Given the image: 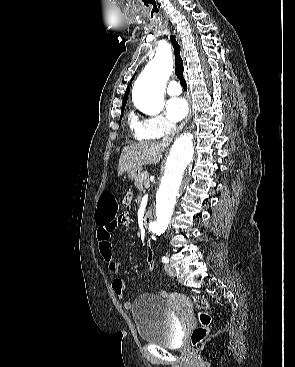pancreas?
Wrapping results in <instances>:
<instances>
[{
  "label": "pancreas",
  "mask_w": 295,
  "mask_h": 367,
  "mask_svg": "<svg viewBox=\"0 0 295 367\" xmlns=\"http://www.w3.org/2000/svg\"><path fill=\"white\" fill-rule=\"evenodd\" d=\"M148 181V177L146 175V173H142L140 178L135 180V186L139 191H143L144 190V184L145 182Z\"/></svg>",
  "instance_id": "cf45deb5"
}]
</instances>
